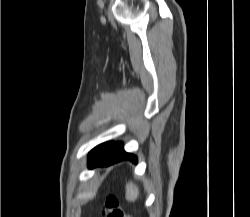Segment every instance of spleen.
Listing matches in <instances>:
<instances>
[{
  "label": "spleen",
  "instance_id": "3e777b00",
  "mask_svg": "<svg viewBox=\"0 0 250 217\" xmlns=\"http://www.w3.org/2000/svg\"><path fill=\"white\" fill-rule=\"evenodd\" d=\"M125 198L129 202H135L139 197V188L133 182H129L125 187Z\"/></svg>",
  "mask_w": 250,
  "mask_h": 217
}]
</instances>
